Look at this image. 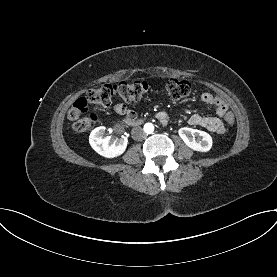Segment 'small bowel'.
<instances>
[{"label":"small bowel","instance_id":"c3829d8e","mask_svg":"<svg viewBox=\"0 0 277 277\" xmlns=\"http://www.w3.org/2000/svg\"><path fill=\"white\" fill-rule=\"evenodd\" d=\"M201 100L210 106L215 108L216 117H204L198 114L192 115L188 122L192 126L202 127L210 132L216 134H222L225 131L223 124V116L228 112V105L220 97L212 94L211 92H204L201 95ZM113 110L118 115L126 116L127 118H135V112L130 110L125 104L119 103L114 105ZM156 118L161 123H166L168 121V114L164 111L157 113Z\"/></svg>","mask_w":277,"mask_h":277}]
</instances>
